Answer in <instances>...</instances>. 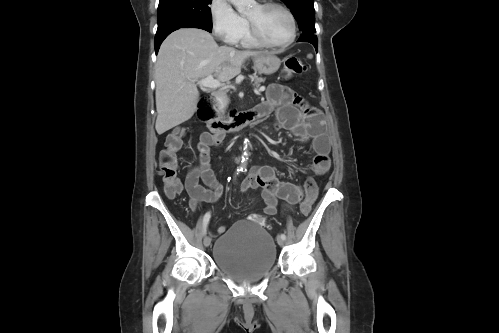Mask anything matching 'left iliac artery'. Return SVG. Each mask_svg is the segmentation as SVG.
Wrapping results in <instances>:
<instances>
[{
    "label": "left iliac artery",
    "instance_id": "obj_1",
    "mask_svg": "<svg viewBox=\"0 0 499 333\" xmlns=\"http://www.w3.org/2000/svg\"><path fill=\"white\" fill-rule=\"evenodd\" d=\"M280 237L285 240L286 239V235L285 234H281Z\"/></svg>",
    "mask_w": 499,
    "mask_h": 333
}]
</instances>
